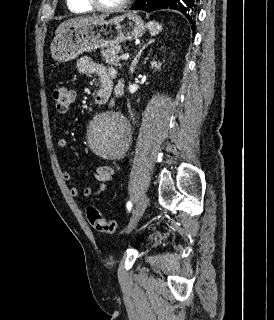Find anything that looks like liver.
Listing matches in <instances>:
<instances>
[{
  "instance_id": "6515ba94",
  "label": "liver",
  "mask_w": 274,
  "mask_h": 320,
  "mask_svg": "<svg viewBox=\"0 0 274 320\" xmlns=\"http://www.w3.org/2000/svg\"><path fill=\"white\" fill-rule=\"evenodd\" d=\"M108 16H78V18H71V20H66L63 24H60L56 30V34L64 30V28H71V26H78V24H88V22H102Z\"/></svg>"
}]
</instances>
